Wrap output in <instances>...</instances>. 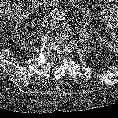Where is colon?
Wrapping results in <instances>:
<instances>
[{
  "label": "colon",
  "instance_id": "obj_1",
  "mask_svg": "<svg viewBox=\"0 0 118 118\" xmlns=\"http://www.w3.org/2000/svg\"><path fill=\"white\" fill-rule=\"evenodd\" d=\"M32 8L31 0H1L0 16L14 18L27 14Z\"/></svg>",
  "mask_w": 118,
  "mask_h": 118
}]
</instances>
